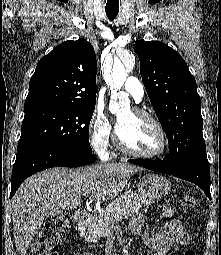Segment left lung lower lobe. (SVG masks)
Instances as JSON below:
<instances>
[{
	"label": "left lung lower lobe",
	"mask_w": 221,
	"mask_h": 255,
	"mask_svg": "<svg viewBox=\"0 0 221 255\" xmlns=\"http://www.w3.org/2000/svg\"><path fill=\"white\" fill-rule=\"evenodd\" d=\"M130 163L140 165L146 169L173 175L198 185L211 199L210 194V169L207 156H196L177 164L166 160H141L132 159Z\"/></svg>",
	"instance_id": "0a47b994"
}]
</instances>
